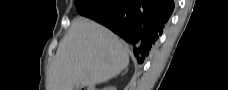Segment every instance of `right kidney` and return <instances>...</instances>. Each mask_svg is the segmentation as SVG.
<instances>
[{
  "label": "right kidney",
  "mask_w": 228,
  "mask_h": 90,
  "mask_svg": "<svg viewBox=\"0 0 228 90\" xmlns=\"http://www.w3.org/2000/svg\"><path fill=\"white\" fill-rule=\"evenodd\" d=\"M104 90H116V88L111 86V87H108V88H104Z\"/></svg>",
  "instance_id": "right-kidney-1"
}]
</instances>
